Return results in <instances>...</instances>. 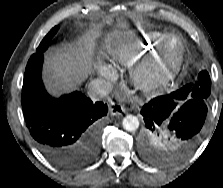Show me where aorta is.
Instances as JSON below:
<instances>
[{
  "label": "aorta",
  "mask_w": 223,
  "mask_h": 188,
  "mask_svg": "<svg viewBox=\"0 0 223 188\" xmlns=\"http://www.w3.org/2000/svg\"><path fill=\"white\" fill-rule=\"evenodd\" d=\"M123 128L128 132L136 131L139 127V119L134 115H127L122 122Z\"/></svg>",
  "instance_id": "aorta-1"
}]
</instances>
